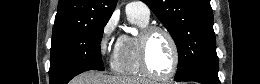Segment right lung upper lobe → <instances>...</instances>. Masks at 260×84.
I'll list each match as a JSON object with an SVG mask.
<instances>
[{
	"label": "right lung upper lobe",
	"mask_w": 260,
	"mask_h": 84,
	"mask_svg": "<svg viewBox=\"0 0 260 84\" xmlns=\"http://www.w3.org/2000/svg\"><path fill=\"white\" fill-rule=\"evenodd\" d=\"M117 0H59L53 26L57 35L91 22L109 20Z\"/></svg>",
	"instance_id": "obj_1"
}]
</instances>
